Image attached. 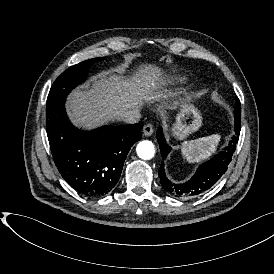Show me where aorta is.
<instances>
[{"mask_svg":"<svg viewBox=\"0 0 274 274\" xmlns=\"http://www.w3.org/2000/svg\"><path fill=\"white\" fill-rule=\"evenodd\" d=\"M137 155L144 160H149L154 157L155 148L151 141L143 140L136 147Z\"/></svg>","mask_w":274,"mask_h":274,"instance_id":"obj_1","label":"aorta"}]
</instances>
